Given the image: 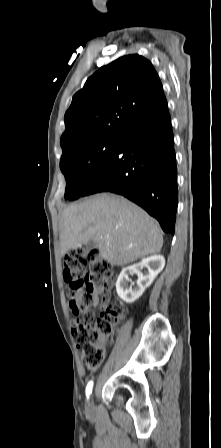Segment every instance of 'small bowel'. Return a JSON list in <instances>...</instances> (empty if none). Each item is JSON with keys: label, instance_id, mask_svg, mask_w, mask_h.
<instances>
[{"label": "small bowel", "instance_id": "c3829d8e", "mask_svg": "<svg viewBox=\"0 0 221 448\" xmlns=\"http://www.w3.org/2000/svg\"><path fill=\"white\" fill-rule=\"evenodd\" d=\"M102 294V299H99L98 295H94L92 298V302H91V306L92 307H97L100 306L101 308L105 309L107 307V305L109 304V293L108 292H103ZM77 323V320L73 321V324L75 325Z\"/></svg>", "mask_w": 221, "mask_h": 448}]
</instances>
